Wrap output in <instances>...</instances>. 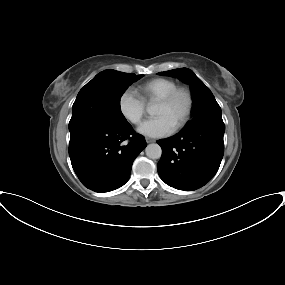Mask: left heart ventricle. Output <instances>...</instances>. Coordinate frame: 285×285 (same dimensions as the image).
<instances>
[{"label":"left heart ventricle","instance_id":"left-heart-ventricle-1","mask_svg":"<svg viewBox=\"0 0 285 285\" xmlns=\"http://www.w3.org/2000/svg\"><path fill=\"white\" fill-rule=\"evenodd\" d=\"M187 110V98L185 95H179L175 100L167 106L156 104L154 109V116L165 117L173 127H175L183 118Z\"/></svg>","mask_w":285,"mask_h":285}]
</instances>
